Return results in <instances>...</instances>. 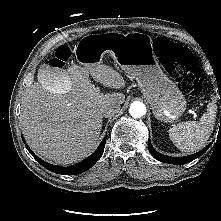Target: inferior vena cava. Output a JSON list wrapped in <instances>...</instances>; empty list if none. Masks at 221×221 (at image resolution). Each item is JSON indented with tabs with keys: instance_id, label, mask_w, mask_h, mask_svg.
Returning <instances> with one entry per match:
<instances>
[{
	"instance_id": "obj_1",
	"label": "inferior vena cava",
	"mask_w": 221,
	"mask_h": 221,
	"mask_svg": "<svg viewBox=\"0 0 221 221\" xmlns=\"http://www.w3.org/2000/svg\"><path fill=\"white\" fill-rule=\"evenodd\" d=\"M120 110L119 104H111L103 107L101 110L103 117H110L116 113H118Z\"/></svg>"
}]
</instances>
